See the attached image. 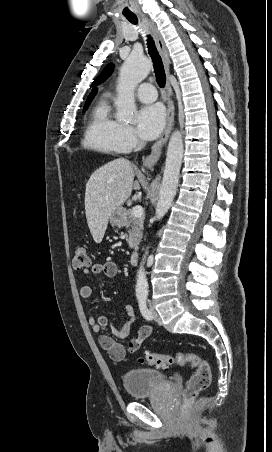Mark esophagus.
<instances>
[{"mask_svg": "<svg viewBox=\"0 0 272 452\" xmlns=\"http://www.w3.org/2000/svg\"><path fill=\"white\" fill-rule=\"evenodd\" d=\"M149 25H150V28L154 35L158 51L163 59L166 73H167V75H169L171 60L169 57L168 50L166 48L162 35L159 32V30L157 29V27L151 22H149ZM166 89H167V92L169 95L168 110H167V122H166V126H165V129H164L161 137L158 139V141L156 143H154V145L152 146V149H151V153L145 158V160L143 162L144 165L149 168H152L158 161V159L161 155L162 147L166 144L169 134L174 125L175 106H174V103L172 100L173 93H172V88H171L169 79L167 80V83H166Z\"/></svg>", "mask_w": 272, "mask_h": 452, "instance_id": "obj_1", "label": "esophagus"}]
</instances>
